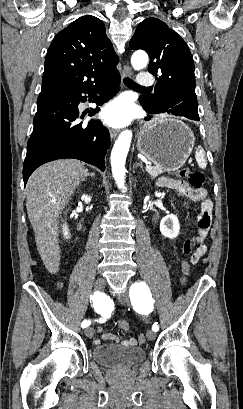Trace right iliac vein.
<instances>
[{"label": "right iliac vein", "mask_w": 243, "mask_h": 409, "mask_svg": "<svg viewBox=\"0 0 243 409\" xmlns=\"http://www.w3.org/2000/svg\"><path fill=\"white\" fill-rule=\"evenodd\" d=\"M105 285H106L105 279L98 278L96 280V282H95V289L98 290V291H102L104 289ZM84 333H85V335L87 337H91L94 334V330H93V328L88 327V328L85 329Z\"/></svg>", "instance_id": "obj_1"}]
</instances>
